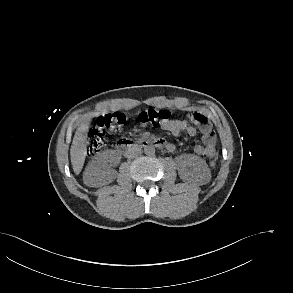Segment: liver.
Here are the masks:
<instances>
[{
	"label": "liver",
	"mask_w": 293,
	"mask_h": 293,
	"mask_svg": "<svg viewBox=\"0 0 293 293\" xmlns=\"http://www.w3.org/2000/svg\"><path fill=\"white\" fill-rule=\"evenodd\" d=\"M88 122L81 124L75 132L70 149L71 164L75 174H79L83 168L88 144Z\"/></svg>",
	"instance_id": "1"
}]
</instances>
